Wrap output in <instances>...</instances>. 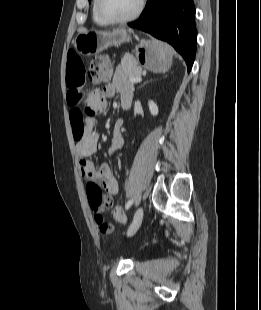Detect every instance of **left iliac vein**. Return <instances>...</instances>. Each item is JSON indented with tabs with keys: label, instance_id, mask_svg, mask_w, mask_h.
Masks as SVG:
<instances>
[{
	"label": "left iliac vein",
	"instance_id": "1",
	"mask_svg": "<svg viewBox=\"0 0 261 310\" xmlns=\"http://www.w3.org/2000/svg\"><path fill=\"white\" fill-rule=\"evenodd\" d=\"M144 216V210L142 207H139L134 215L133 221L128 229V236H132L139 229Z\"/></svg>",
	"mask_w": 261,
	"mask_h": 310
}]
</instances>
